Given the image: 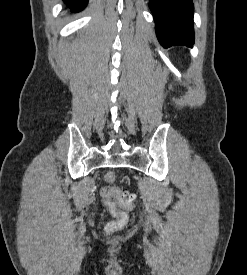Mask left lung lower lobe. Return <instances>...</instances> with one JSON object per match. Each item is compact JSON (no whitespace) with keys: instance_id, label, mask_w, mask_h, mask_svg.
<instances>
[{"instance_id":"0a47b994","label":"left lung lower lobe","mask_w":247,"mask_h":275,"mask_svg":"<svg viewBox=\"0 0 247 275\" xmlns=\"http://www.w3.org/2000/svg\"><path fill=\"white\" fill-rule=\"evenodd\" d=\"M156 34L164 48L194 44L192 0H150Z\"/></svg>"}]
</instances>
